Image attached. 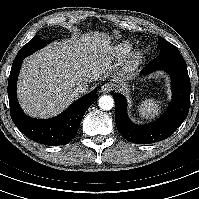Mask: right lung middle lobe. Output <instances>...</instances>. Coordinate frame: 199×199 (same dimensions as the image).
I'll use <instances>...</instances> for the list:
<instances>
[{"label":"right lung middle lobe","mask_w":199,"mask_h":199,"mask_svg":"<svg viewBox=\"0 0 199 199\" xmlns=\"http://www.w3.org/2000/svg\"><path fill=\"white\" fill-rule=\"evenodd\" d=\"M48 43L49 41L41 40L38 36H35L32 40H30L26 45L21 48L16 58L27 57L28 55L34 53Z\"/></svg>","instance_id":"1"}]
</instances>
